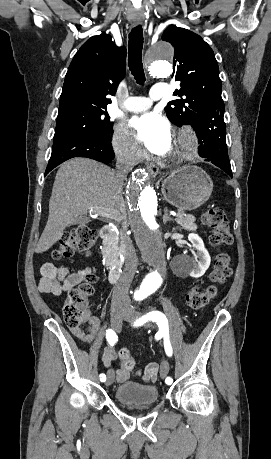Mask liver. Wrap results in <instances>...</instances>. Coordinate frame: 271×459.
<instances>
[{
  "mask_svg": "<svg viewBox=\"0 0 271 459\" xmlns=\"http://www.w3.org/2000/svg\"><path fill=\"white\" fill-rule=\"evenodd\" d=\"M123 180L105 164L89 158H72L61 164L49 200L48 222L35 247L36 253L47 251L63 235V229L91 208L125 210Z\"/></svg>",
  "mask_w": 271,
  "mask_h": 459,
  "instance_id": "liver-1",
  "label": "liver"
}]
</instances>
